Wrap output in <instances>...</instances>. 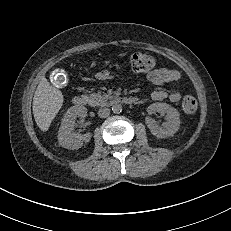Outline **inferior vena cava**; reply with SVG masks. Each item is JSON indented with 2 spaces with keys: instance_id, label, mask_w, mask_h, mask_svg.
<instances>
[{
  "instance_id": "602c4592",
  "label": "inferior vena cava",
  "mask_w": 231,
  "mask_h": 231,
  "mask_svg": "<svg viewBox=\"0 0 231 231\" xmlns=\"http://www.w3.org/2000/svg\"><path fill=\"white\" fill-rule=\"evenodd\" d=\"M110 114V109L107 107L100 108L98 111V116L101 118H106Z\"/></svg>"
}]
</instances>
